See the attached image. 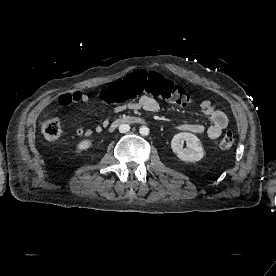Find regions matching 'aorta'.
Here are the masks:
<instances>
[{"label": "aorta", "mask_w": 276, "mask_h": 276, "mask_svg": "<svg viewBox=\"0 0 276 276\" xmlns=\"http://www.w3.org/2000/svg\"><path fill=\"white\" fill-rule=\"evenodd\" d=\"M150 130L148 127L146 126H141L140 129H139V133L142 135V136H147L149 134Z\"/></svg>", "instance_id": "aorta-1"}]
</instances>
